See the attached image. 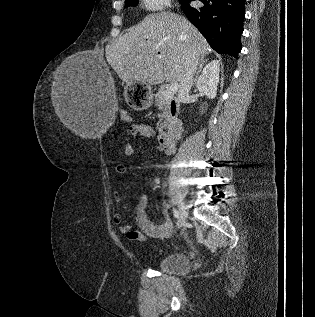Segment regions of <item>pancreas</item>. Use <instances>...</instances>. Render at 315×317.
I'll use <instances>...</instances> for the list:
<instances>
[{
  "label": "pancreas",
  "instance_id": "obj_1",
  "mask_svg": "<svg viewBox=\"0 0 315 317\" xmlns=\"http://www.w3.org/2000/svg\"><path fill=\"white\" fill-rule=\"evenodd\" d=\"M166 90L167 88L165 86H161L155 95V105L159 109L162 110L160 121H164V123L162 124L164 127L168 126V122L171 119V115H170L171 98H168L166 96Z\"/></svg>",
  "mask_w": 315,
  "mask_h": 317
}]
</instances>
